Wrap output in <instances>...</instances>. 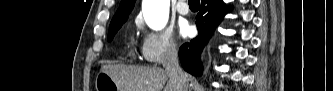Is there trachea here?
I'll list each match as a JSON object with an SVG mask.
<instances>
[{"label":"trachea","mask_w":333,"mask_h":91,"mask_svg":"<svg viewBox=\"0 0 333 91\" xmlns=\"http://www.w3.org/2000/svg\"><path fill=\"white\" fill-rule=\"evenodd\" d=\"M189 4L190 3H199V0H188Z\"/></svg>","instance_id":"3493384b"}]
</instances>
